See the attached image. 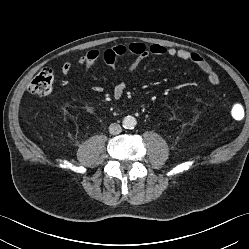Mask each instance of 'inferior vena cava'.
<instances>
[{"mask_svg":"<svg viewBox=\"0 0 249 249\" xmlns=\"http://www.w3.org/2000/svg\"><path fill=\"white\" fill-rule=\"evenodd\" d=\"M122 131V128L119 124L117 123H112L109 126V132L113 135H117Z\"/></svg>","mask_w":249,"mask_h":249,"instance_id":"602c4592","label":"inferior vena cava"}]
</instances>
